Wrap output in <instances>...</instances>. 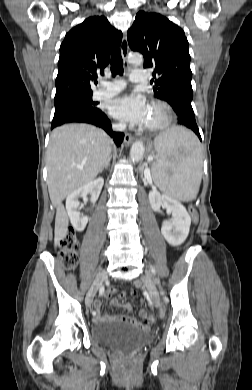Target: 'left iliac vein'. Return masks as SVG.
I'll list each match as a JSON object with an SVG mask.
<instances>
[{
    "label": "left iliac vein",
    "mask_w": 252,
    "mask_h": 390,
    "mask_svg": "<svg viewBox=\"0 0 252 390\" xmlns=\"http://www.w3.org/2000/svg\"><path fill=\"white\" fill-rule=\"evenodd\" d=\"M142 281L150 294V297L153 301L154 306L159 307L160 306V299H159V294H158V291H157V288L155 285V281H153V279L151 278V275L149 273H147L146 275H144L142 277Z\"/></svg>",
    "instance_id": "obj_1"
}]
</instances>
